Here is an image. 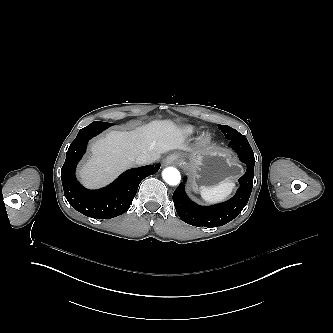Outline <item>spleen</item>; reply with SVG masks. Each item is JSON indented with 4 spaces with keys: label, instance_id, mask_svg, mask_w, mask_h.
I'll return each mask as SVG.
<instances>
[{
    "label": "spleen",
    "instance_id": "3e777b00",
    "mask_svg": "<svg viewBox=\"0 0 333 333\" xmlns=\"http://www.w3.org/2000/svg\"><path fill=\"white\" fill-rule=\"evenodd\" d=\"M234 187V183L222 180L212 186L205 187L201 190V195L207 201H217L228 196Z\"/></svg>",
    "mask_w": 333,
    "mask_h": 333
}]
</instances>
